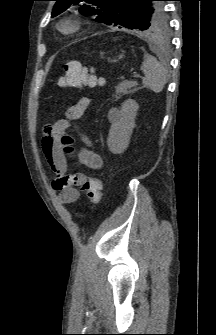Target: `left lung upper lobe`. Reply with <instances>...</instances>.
I'll return each instance as SVG.
<instances>
[{
    "label": "left lung upper lobe",
    "instance_id": "5c2ea615",
    "mask_svg": "<svg viewBox=\"0 0 216 335\" xmlns=\"http://www.w3.org/2000/svg\"><path fill=\"white\" fill-rule=\"evenodd\" d=\"M55 17L72 5L85 2L79 12L107 25L161 33L168 29L163 0H54Z\"/></svg>",
    "mask_w": 216,
    "mask_h": 335
}]
</instances>
